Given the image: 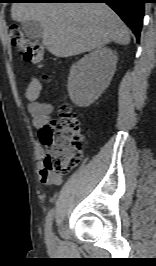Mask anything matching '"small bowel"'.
Wrapping results in <instances>:
<instances>
[{
  "label": "small bowel",
  "mask_w": 156,
  "mask_h": 266,
  "mask_svg": "<svg viewBox=\"0 0 156 266\" xmlns=\"http://www.w3.org/2000/svg\"><path fill=\"white\" fill-rule=\"evenodd\" d=\"M41 84L38 80L33 79L27 89V96L30 100L28 104V112L32 117V122L35 128L42 129L45 125L48 124L52 117L53 107L51 104L38 102L36 99L41 92ZM35 157L37 159H42L44 155V149L41 145L35 141ZM39 167V177L43 184L47 186H56L62 182L60 175H55L48 173L41 163H38Z\"/></svg>",
  "instance_id": "obj_1"
}]
</instances>
